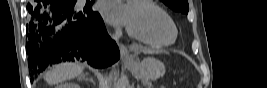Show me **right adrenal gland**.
I'll use <instances>...</instances> for the list:
<instances>
[{"label": "right adrenal gland", "instance_id": "obj_1", "mask_svg": "<svg viewBox=\"0 0 267 88\" xmlns=\"http://www.w3.org/2000/svg\"><path fill=\"white\" fill-rule=\"evenodd\" d=\"M81 79L90 80L91 82L94 83V80H93L92 78H88V74H86V75H81V76L79 77V80H81Z\"/></svg>", "mask_w": 267, "mask_h": 88}]
</instances>
